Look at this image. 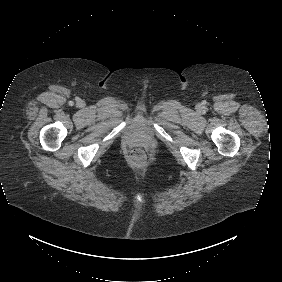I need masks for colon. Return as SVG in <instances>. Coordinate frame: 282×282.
Instances as JSON below:
<instances>
[{"instance_id":"colon-1","label":"colon","mask_w":282,"mask_h":282,"mask_svg":"<svg viewBox=\"0 0 282 282\" xmlns=\"http://www.w3.org/2000/svg\"><path fill=\"white\" fill-rule=\"evenodd\" d=\"M130 160L133 165L142 167L147 164L149 160V153L143 147H136L130 153Z\"/></svg>"}]
</instances>
